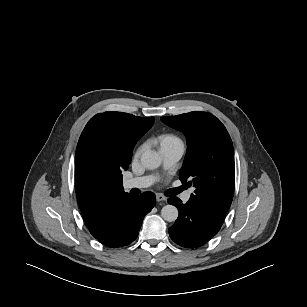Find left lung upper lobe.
I'll return each mask as SVG.
<instances>
[{
	"mask_svg": "<svg viewBox=\"0 0 307 307\" xmlns=\"http://www.w3.org/2000/svg\"><path fill=\"white\" fill-rule=\"evenodd\" d=\"M161 121L187 138L179 177L182 183L195 187L188 202L223 223L235 187L234 149L225 126L214 115L198 111L165 116Z\"/></svg>",
	"mask_w": 307,
	"mask_h": 307,
	"instance_id": "left-lung-upper-lobe-1",
	"label": "left lung upper lobe"
}]
</instances>
